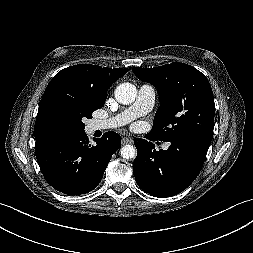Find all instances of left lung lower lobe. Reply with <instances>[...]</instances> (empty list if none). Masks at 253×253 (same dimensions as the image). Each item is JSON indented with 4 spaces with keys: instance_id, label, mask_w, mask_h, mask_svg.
<instances>
[{
    "instance_id": "1",
    "label": "left lung lower lobe",
    "mask_w": 253,
    "mask_h": 253,
    "mask_svg": "<svg viewBox=\"0 0 253 253\" xmlns=\"http://www.w3.org/2000/svg\"><path fill=\"white\" fill-rule=\"evenodd\" d=\"M149 140H156L149 134ZM212 137L195 134L170 140L168 150L137 138L133 172L138 186L155 197L174 196L185 190L199 174Z\"/></svg>"
}]
</instances>
